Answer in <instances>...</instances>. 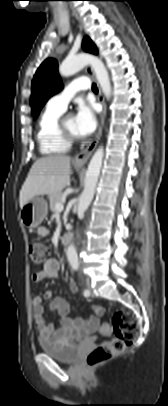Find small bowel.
Segmentation results:
<instances>
[{"mask_svg": "<svg viewBox=\"0 0 168 406\" xmlns=\"http://www.w3.org/2000/svg\"><path fill=\"white\" fill-rule=\"evenodd\" d=\"M48 233V229L44 226L37 229L38 236L45 237ZM58 270V260L50 259L44 264L41 271L33 274V280L40 282L45 278H56ZM69 289L71 292L77 291V284L73 279L69 281ZM44 299H52V292L47 291L44 297L36 295L32 298L33 319L43 339L58 345L69 346L73 345L76 339L87 337L99 330L100 316L104 313L102 306L93 305V315L85 320L81 317L70 316L69 304L63 298H54L49 303L48 309L58 313L59 323L56 325L48 323L46 320Z\"/></svg>", "mask_w": 168, "mask_h": 406, "instance_id": "1", "label": "small bowel"}]
</instances>
